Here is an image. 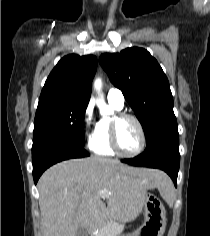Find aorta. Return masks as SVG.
<instances>
[{
  "label": "aorta",
  "instance_id": "762f6f07",
  "mask_svg": "<svg viewBox=\"0 0 210 236\" xmlns=\"http://www.w3.org/2000/svg\"><path fill=\"white\" fill-rule=\"evenodd\" d=\"M94 88L95 90L98 92V95H99V99L97 100V106L100 110V113L102 114H112L113 111L111 108H109L104 99H103V95L101 93V88H102V80L100 78H97L95 81H94Z\"/></svg>",
  "mask_w": 210,
  "mask_h": 236
}]
</instances>
